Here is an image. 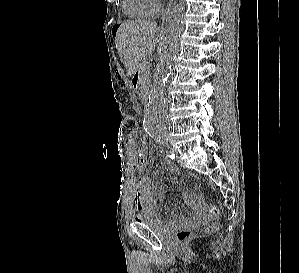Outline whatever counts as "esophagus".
<instances>
[{
	"instance_id": "esophagus-1",
	"label": "esophagus",
	"mask_w": 299,
	"mask_h": 273,
	"mask_svg": "<svg viewBox=\"0 0 299 273\" xmlns=\"http://www.w3.org/2000/svg\"><path fill=\"white\" fill-rule=\"evenodd\" d=\"M176 4V0H170L169 4L167 5V7L164 9L162 15H161V21L164 23L168 20L169 15L173 9V7Z\"/></svg>"
}]
</instances>
